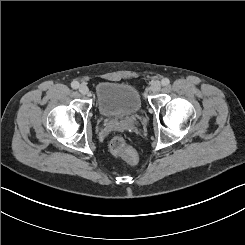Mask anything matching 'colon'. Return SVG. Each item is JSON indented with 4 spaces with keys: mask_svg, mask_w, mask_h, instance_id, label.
I'll return each instance as SVG.
<instances>
[{
    "mask_svg": "<svg viewBox=\"0 0 245 245\" xmlns=\"http://www.w3.org/2000/svg\"><path fill=\"white\" fill-rule=\"evenodd\" d=\"M110 150L113 154L124 156L130 161H134V152L126 143L123 136H115L110 142Z\"/></svg>",
    "mask_w": 245,
    "mask_h": 245,
    "instance_id": "1",
    "label": "colon"
}]
</instances>
